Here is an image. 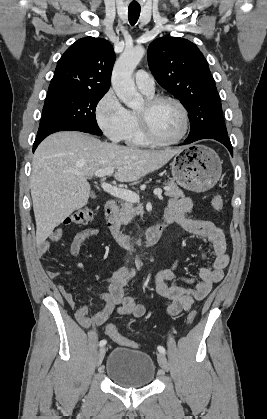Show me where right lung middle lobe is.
<instances>
[{
  "label": "right lung middle lobe",
  "mask_w": 267,
  "mask_h": 419,
  "mask_svg": "<svg viewBox=\"0 0 267 419\" xmlns=\"http://www.w3.org/2000/svg\"><path fill=\"white\" fill-rule=\"evenodd\" d=\"M106 92L60 91L47 93L43 116L57 119L95 135H102L95 109Z\"/></svg>",
  "instance_id": "dd1d6c3e"
}]
</instances>
